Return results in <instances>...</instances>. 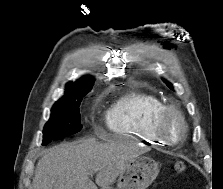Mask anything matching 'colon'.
Instances as JSON below:
<instances>
[{"instance_id":"colon-1","label":"colon","mask_w":223,"mask_h":189,"mask_svg":"<svg viewBox=\"0 0 223 189\" xmlns=\"http://www.w3.org/2000/svg\"><path fill=\"white\" fill-rule=\"evenodd\" d=\"M173 169H174L175 173L183 174L186 172L187 166H186L185 162H183L181 160H177V161H175V163L173 165Z\"/></svg>"}]
</instances>
